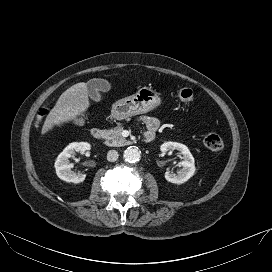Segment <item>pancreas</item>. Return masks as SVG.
Instances as JSON below:
<instances>
[{
  "mask_svg": "<svg viewBox=\"0 0 272 272\" xmlns=\"http://www.w3.org/2000/svg\"><path fill=\"white\" fill-rule=\"evenodd\" d=\"M123 126L119 123L114 129L106 131V145L112 147H120L130 142L122 136Z\"/></svg>",
  "mask_w": 272,
  "mask_h": 272,
  "instance_id": "obj_1",
  "label": "pancreas"
}]
</instances>
